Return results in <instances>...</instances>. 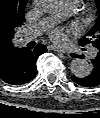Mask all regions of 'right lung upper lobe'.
Returning <instances> with one entry per match:
<instances>
[{"instance_id":"cb5924a9","label":"right lung upper lobe","mask_w":100,"mask_h":118,"mask_svg":"<svg viewBox=\"0 0 100 118\" xmlns=\"http://www.w3.org/2000/svg\"><path fill=\"white\" fill-rule=\"evenodd\" d=\"M28 0H0V55L13 50L14 29L24 22Z\"/></svg>"}]
</instances>
